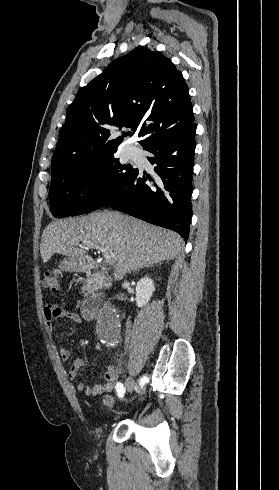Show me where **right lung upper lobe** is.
I'll use <instances>...</instances> for the list:
<instances>
[{
	"instance_id": "obj_1",
	"label": "right lung upper lobe",
	"mask_w": 279,
	"mask_h": 490,
	"mask_svg": "<svg viewBox=\"0 0 279 490\" xmlns=\"http://www.w3.org/2000/svg\"><path fill=\"white\" fill-rule=\"evenodd\" d=\"M188 88L161 52L132 50L82 87L68 107L51 162L52 179L116 149L109 126L138 129L143 148L195 125Z\"/></svg>"
}]
</instances>
